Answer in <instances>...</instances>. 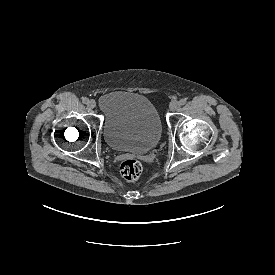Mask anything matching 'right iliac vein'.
I'll use <instances>...</instances> for the list:
<instances>
[{
  "label": "right iliac vein",
  "mask_w": 275,
  "mask_h": 275,
  "mask_svg": "<svg viewBox=\"0 0 275 275\" xmlns=\"http://www.w3.org/2000/svg\"><path fill=\"white\" fill-rule=\"evenodd\" d=\"M88 107L93 109L96 107V101L94 99H91L89 102H88Z\"/></svg>",
  "instance_id": "obj_1"
}]
</instances>
